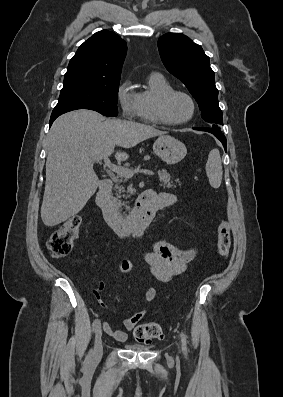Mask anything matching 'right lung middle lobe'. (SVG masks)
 <instances>
[{
	"label": "right lung middle lobe",
	"mask_w": 283,
	"mask_h": 397,
	"mask_svg": "<svg viewBox=\"0 0 283 397\" xmlns=\"http://www.w3.org/2000/svg\"><path fill=\"white\" fill-rule=\"evenodd\" d=\"M120 78L105 79L68 73L54 109H90L104 116L118 115L117 96Z\"/></svg>",
	"instance_id": "obj_1"
}]
</instances>
